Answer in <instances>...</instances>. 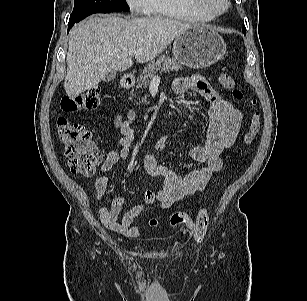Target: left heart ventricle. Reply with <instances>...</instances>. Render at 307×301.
Wrapping results in <instances>:
<instances>
[{
	"mask_svg": "<svg viewBox=\"0 0 307 301\" xmlns=\"http://www.w3.org/2000/svg\"><path fill=\"white\" fill-rule=\"evenodd\" d=\"M209 1H211V3H213L216 6H222L221 0H209Z\"/></svg>",
	"mask_w": 307,
	"mask_h": 301,
	"instance_id": "1",
	"label": "left heart ventricle"
}]
</instances>
